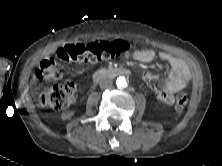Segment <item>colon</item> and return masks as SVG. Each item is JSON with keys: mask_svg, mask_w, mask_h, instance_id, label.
Returning <instances> with one entry per match:
<instances>
[{"mask_svg": "<svg viewBox=\"0 0 222 166\" xmlns=\"http://www.w3.org/2000/svg\"><path fill=\"white\" fill-rule=\"evenodd\" d=\"M129 44L123 40L96 41L88 44H72L60 48L57 52V59L66 62H98L121 56L128 52ZM55 58L43 59L36 71V77L40 80H56L60 78L61 72L58 61ZM76 86L67 82L56 84L39 97V104L42 107L52 110L66 108L74 99ZM188 102V96L181 93L176 98L175 108L182 110Z\"/></svg>", "mask_w": 222, "mask_h": 166, "instance_id": "obj_1", "label": "colon"}]
</instances>
